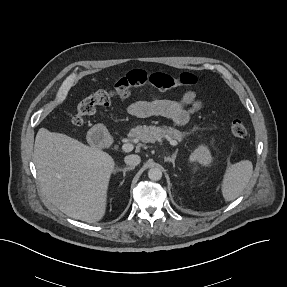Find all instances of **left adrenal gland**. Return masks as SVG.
I'll return each instance as SVG.
<instances>
[{"mask_svg": "<svg viewBox=\"0 0 287 287\" xmlns=\"http://www.w3.org/2000/svg\"><path fill=\"white\" fill-rule=\"evenodd\" d=\"M177 150L175 151V153H173V155L170 157V156H168V157H164V161L165 162H171L173 165H175V159H176V156H177Z\"/></svg>", "mask_w": 287, "mask_h": 287, "instance_id": "a2214340", "label": "left adrenal gland"}]
</instances>
